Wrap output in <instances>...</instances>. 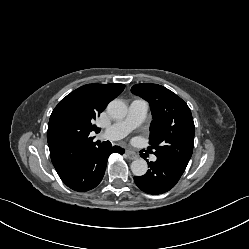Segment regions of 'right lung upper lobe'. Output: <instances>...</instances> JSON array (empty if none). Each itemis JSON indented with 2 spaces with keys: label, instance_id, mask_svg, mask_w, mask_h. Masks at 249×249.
<instances>
[{
  "label": "right lung upper lobe",
  "instance_id": "cb5924a9",
  "mask_svg": "<svg viewBox=\"0 0 249 249\" xmlns=\"http://www.w3.org/2000/svg\"><path fill=\"white\" fill-rule=\"evenodd\" d=\"M125 88L124 84H87L68 94L53 110L47 130L52 163L66 176L86 153L98 145L90 137L93 124L108 103Z\"/></svg>",
  "mask_w": 249,
  "mask_h": 249
}]
</instances>
